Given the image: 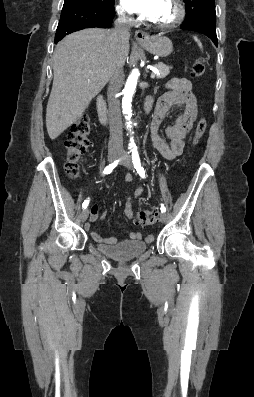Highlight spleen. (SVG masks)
<instances>
[{
  "label": "spleen",
  "mask_w": 254,
  "mask_h": 397,
  "mask_svg": "<svg viewBox=\"0 0 254 397\" xmlns=\"http://www.w3.org/2000/svg\"><path fill=\"white\" fill-rule=\"evenodd\" d=\"M194 40L197 42L198 46L202 49V44L201 42L198 40V38L196 36L193 37Z\"/></svg>",
  "instance_id": "spleen-1"
}]
</instances>
